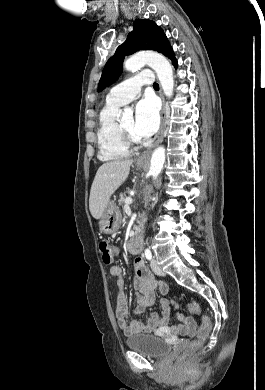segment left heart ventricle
I'll return each instance as SVG.
<instances>
[{"instance_id":"b2bd125f","label":"left heart ventricle","mask_w":265,"mask_h":390,"mask_svg":"<svg viewBox=\"0 0 265 390\" xmlns=\"http://www.w3.org/2000/svg\"><path fill=\"white\" fill-rule=\"evenodd\" d=\"M122 125L124 126V128L129 132L131 133L132 135H134L135 137L136 134L134 132V119L133 117H129L128 119H126L124 122H122Z\"/></svg>"}]
</instances>
